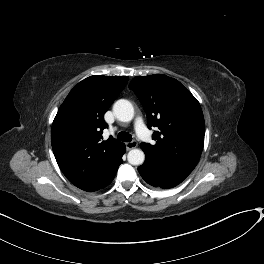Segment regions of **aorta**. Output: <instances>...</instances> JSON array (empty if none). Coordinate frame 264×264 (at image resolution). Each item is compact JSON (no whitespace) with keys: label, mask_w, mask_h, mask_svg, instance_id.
Segmentation results:
<instances>
[{"label":"aorta","mask_w":264,"mask_h":264,"mask_svg":"<svg viewBox=\"0 0 264 264\" xmlns=\"http://www.w3.org/2000/svg\"><path fill=\"white\" fill-rule=\"evenodd\" d=\"M113 112L116 118L122 122H129L134 117V108L130 101L120 99L114 103ZM131 165H141L145 160V154L141 149H132L127 155Z\"/></svg>","instance_id":"1"}]
</instances>
